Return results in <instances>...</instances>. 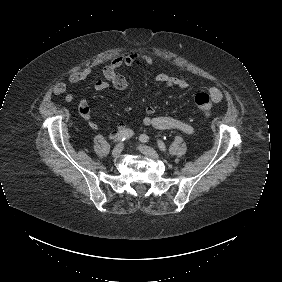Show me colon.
<instances>
[{"label": "colon", "instance_id": "obj_1", "mask_svg": "<svg viewBox=\"0 0 282 282\" xmlns=\"http://www.w3.org/2000/svg\"><path fill=\"white\" fill-rule=\"evenodd\" d=\"M195 103L197 107L206 114H209L214 106V102L211 99L210 95L207 93H198L195 96Z\"/></svg>", "mask_w": 282, "mask_h": 282}]
</instances>
